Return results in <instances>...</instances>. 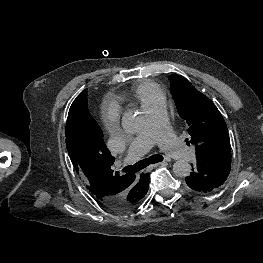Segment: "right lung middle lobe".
<instances>
[{
  "label": "right lung middle lobe",
  "instance_id": "dd1d6c3e",
  "mask_svg": "<svg viewBox=\"0 0 263 263\" xmlns=\"http://www.w3.org/2000/svg\"><path fill=\"white\" fill-rule=\"evenodd\" d=\"M86 96H87V90H85V97H84V105H85V107L87 106V98H86Z\"/></svg>",
  "mask_w": 263,
  "mask_h": 263
}]
</instances>
